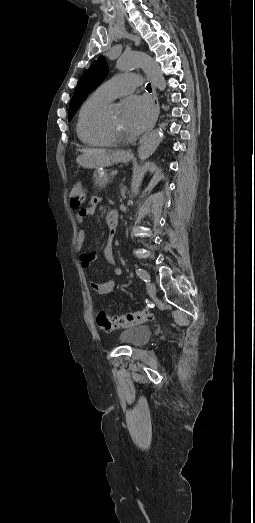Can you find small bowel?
Listing matches in <instances>:
<instances>
[{"instance_id":"1","label":"small bowel","mask_w":255,"mask_h":523,"mask_svg":"<svg viewBox=\"0 0 255 523\" xmlns=\"http://www.w3.org/2000/svg\"><path fill=\"white\" fill-rule=\"evenodd\" d=\"M95 207L93 205L83 207L81 208L77 215L76 220L78 223H83L84 220L88 217L94 214ZM86 240V231L85 229H80L77 233L76 237V251L79 254V261L81 265L84 268H89L93 261H95L99 255L96 253H88L84 251V243ZM103 257L106 259V261L111 264L115 265L116 260L113 255V238L112 236L109 237L107 246L104 250ZM115 276H120L122 274V270L118 267L114 269ZM89 285L90 287L96 291L99 294H107L110 293L114 286L115 281L113 279H110L104 283H99L95 281L92 277L89 278Z\"/></svg>"}]
</instances>
